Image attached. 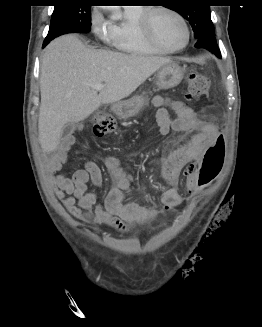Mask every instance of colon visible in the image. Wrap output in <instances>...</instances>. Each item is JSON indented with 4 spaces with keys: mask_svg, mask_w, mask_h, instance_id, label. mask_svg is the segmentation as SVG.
Returning <instances> with one entry per match:
<instances>
[{
    "mask_svg": "<svg viewBox=\"0 0 262 327\" xmlns=\"http://www.w3.org/2000/svg\"><path fill=\"white\" fill-rule=\"evenodd\" d=\"M210 81L207 76L191 71L187 77V99L194 100L204 98L208 94ZM115 130V120L112 114L106 110H100L93 117V132L97 136H104ZM224 140L218 137L214 144L209 146L196 166L194 181L198 189L209 185L220 172L224 162ZM194 200V194L187 199ZM175 208V207H174ZM174 208H168L172 210Z\"/></svg>",
    "mask_w": 262,
    "mask_h": 327,
    "instance_id": "colon-1",
    "label": "colon"
}]
</instances>
